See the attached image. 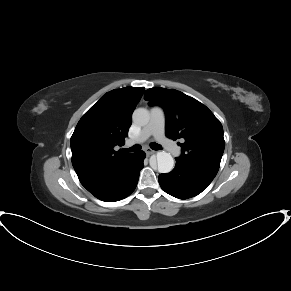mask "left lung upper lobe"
I'll return each mask as SVG.
<instances>
[{"mask_svg":"<svg viewBox=\"0 0 291 291\" xmlns=\"http://www.w3.org/2000/svg\"><path fill=\"white\" fill-rule=\"evenodd\" d=\"M144 99L164 109L166 136L184 141L179 143V159L219 169L225 147L223 127L205 105L180 91L161 87L146 90Z\"/></svg>","mask_w":291,"mask_h":291,"instance_id":"left-lung-upper-lobe-1","label":"left lung upper lobe"}]
</instances>
